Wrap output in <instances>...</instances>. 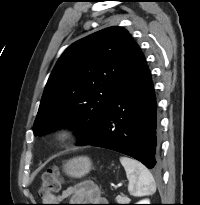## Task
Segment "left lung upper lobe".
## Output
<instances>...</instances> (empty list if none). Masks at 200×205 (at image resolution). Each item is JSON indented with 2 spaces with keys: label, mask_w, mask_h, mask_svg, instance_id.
<instances>
[{
  "label": "left lung upper lobe",
  "mask_w": 200,
  "mask_h": 205,
  "mask_svg": "<svg viewBox=\"0 0 200 205\" xmlns=\"http://www.w3.org/2000/svg\"><path fill=\"white\" fill-rule=\"evenodd\" d=\"M136 43L121 27L95 32L57 61L34 122V135L73 123L81 146L93 139L112 103L116 84Z\"/></svg>",
  "instance_id": "5c2ea615"
}]
</instances>
